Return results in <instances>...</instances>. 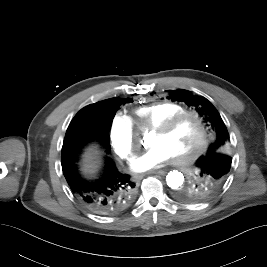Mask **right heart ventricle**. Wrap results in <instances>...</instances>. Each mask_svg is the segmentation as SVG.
I'll list each match as a JSON object with an SVG mask.
<instances>
[{
	"label": "right heart ventricle",
	"instance_id": "right-heart-ventricle-1",
	"mask_svg": "<svg viewBox=\"0 0 267 267\" xmlns=\"http://www.w3.org/2000/svg\"><path fill=\"white\" fill-rule=\"evenodd\" d=\"M187 109L173 102H157L135 109L131 121L139 129H154L168 118L185 112Z\"/></svg>",
	"mask_w": 267,
	"mask_h": 267
}]
</instances>
